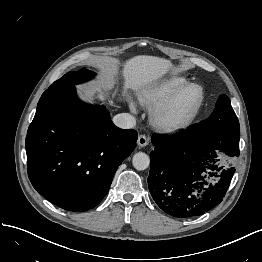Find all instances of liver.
<instances>
[{"label": "liver", "mask_w": 262, "mask_h": 262, "mask_svg": "<svg viewBox=\"0 0 262 262\" xmlns=\"http://www.w3.org/2000/svg\"><path fill=\"white\" fill-rule=\"evenodd\" d=\"M172 63L164 58L139 55L126 60L123 63L122 75L125 86L134 90H140L163 77L171 68ZM109 85L101 82L98 85L85 87L83 89L87 96H95L101 101L107 99L106 91Z\"/></svg>", "instance_id": "obj_1"}]
</instances>
